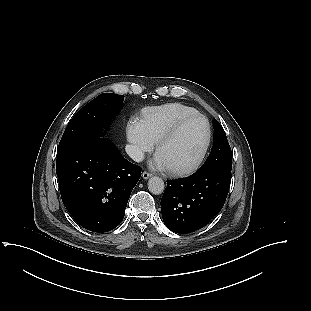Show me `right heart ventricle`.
Segmentation results:
<instances>
[{
    "label": "right heart ventricle",
    "instance_id": "e07e8e85",
    "mask_svg": "<svg viewBox=\"0 0 311 311\" xmlns=\"http://www.w3.org/2000/svg\"><path fill=\"white\" fill-rule=\"evenodd\" d=\"M197 110L182 103H168L143 110L141 123L153 142L165 133L181 117L196 113Z\"/></svg>",
    "mask_w": 311,
    "mask_h": 311
}]
</instances>
